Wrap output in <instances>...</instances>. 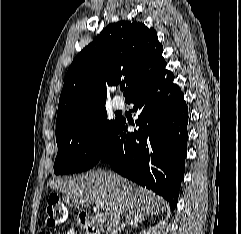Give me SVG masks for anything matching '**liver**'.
I'll list each match as a JSON object with an SVG mask.
<instances>
[{
	"instance_id": "liver-1",
	"label": "liver",
	"mask_w": 241,
	"mask_h": 234,
	"mask_svg": "<svg viewBox=\"0 0 241 234\" xmlns=\"http://www.w3.org/2000/svg\"><path fill=\"white\" fill-rule=\"evenodd\" d=\"M47 185L61 191L63 200L72 207L100 205V214L107 225L115 215H125L126 219L144 217L158 215L166 208L160 197L111 171L91 170L66 180H50Z\"/></svg>"
}]
</instances>
